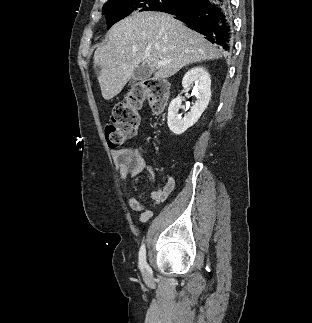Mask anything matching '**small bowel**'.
Instances as JSON below:
<instances>
[{
    "label": "small bowel",
    "mask_w": 312,
    "mask_h": 323,
    "mask_svg": "<svg viewBox=\"0 0 312 323\" xmlns=\"http://www.w3.org/2000/svg\"><path fill=\"white\" fill-rule=\"evenodd\" d=\"M112 158L115 166L123 180L135 178L138 174L146 171L154 177L153 169L147 165L144 158L137 152L129 149H118L112 151ZM175 188V180L172 176H167L164 185L152 191L147 203L130 196L128 205L131 210L140 212L138 220L140 222L148 221L153 215L154 207L167 199Z\"/></svg>",
    "instance_id": "c3829d8e"
}]
</instances>
